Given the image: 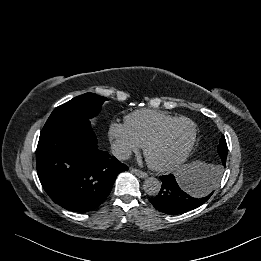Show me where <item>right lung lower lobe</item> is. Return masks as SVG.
I'll use <instances>...</instances> for the list:
<instances>
[{"label":"right lung lower lobe","mask_w":261,"mask_h":261,"mask_svg":"<svg viewBox=\"0 0 261 261\" xmlns=\"http://www.w3.org/2000/svg\"><path fill=\"white\" fill-rule=\"evenodd\" d=\"M37 172L49 197L63 208L88 212L109 195L128 167L98 149L88 120L43 128L36 150Z\"/></svg>","instance_id":"98d812e1"}]
</instances>
